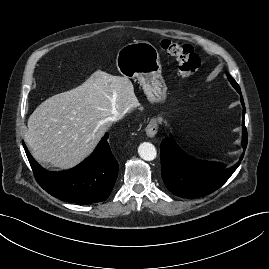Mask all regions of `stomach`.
<instances>
[{"label":"stomach","instance_id":"0dacf381","mask_svg":"<svg viewBox=\"0 0 269 269\" xmlns=\"http://www.w3.org/2000/svg\"><path fill=\"white\" fill-rule=\"evenodd\" d=\"M116 66L128 78H137L150 101L164 100L167 87L161 75L158 50L149 42L123 46L116 56Z\"/></svg>","mask_w":269,"mask_h":269}]
</instances>
